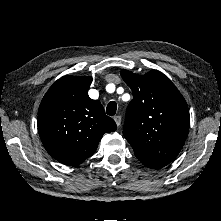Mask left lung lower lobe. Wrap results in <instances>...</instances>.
I'll return each instance as SVG.
<instances>
[{
    "instance_id": "1",
    "label": "left lung lower lobe",
    "mask_w": 221,
    "mask_h": 221,
    "mask_svg": "<svg viewBox=\"0 0 221 221\" xmlns=\"http://www.w3.org/2000/svg\"><path fill=\"white\" fill-rule=\"evenodd\" d=\"M135 156L147 167L151 168V169H160L162 167H164L165 165H167V163L164 162H160V161H155L152 159H149L143 155L140 154H135Z\"/></svg>"
}]
</instances>
